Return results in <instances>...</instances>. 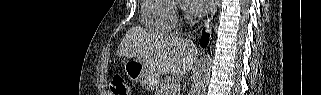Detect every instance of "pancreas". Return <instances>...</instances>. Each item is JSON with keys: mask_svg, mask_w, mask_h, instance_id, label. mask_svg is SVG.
<instances>
[{"mask_svg": "<svg viewBox=\"0 0 321 95\" xmlns=\"http://www.w3.org/2000/svg\"><path fill=\"white\" fill-rule=\"evenodd\" d=\"M172 78H165L159 82L156 88V95H175L178 89L175 90V84Z\"/></svg>", "mask_w": 321, "mask_h": 95, "instance_id": "pancreas-1", "label": "pancreas"}]
</instances>
